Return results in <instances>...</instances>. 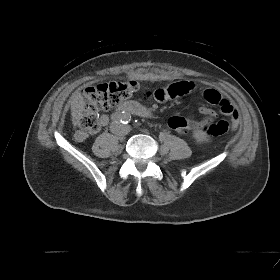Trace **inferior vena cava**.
<instances>
[{
    "instance_id": "602c4592",
    "label": "inferior vena cava",
    "mask_w": 280,
    "mask_h": 280,
    "mask_svg": "<svg viewBox=\"0 0 280 280\" xmlns=\"http://www.w3.org/2000/svg\"><path fill=\"white\" fill-rule=\"evenodd\" d=\"M110 130L112 133L120 136L126 135L129 132V130L124 125L115 122L111 124Z\"/></svg>"
}]
</instances>
